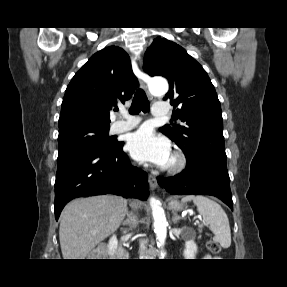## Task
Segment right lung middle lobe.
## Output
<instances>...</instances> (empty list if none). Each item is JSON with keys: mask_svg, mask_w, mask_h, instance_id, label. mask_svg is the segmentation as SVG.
<instances>
[{"mask_svg": "<svg viewBox=\"0 0 287 287\" xmlns=\"http://www.w3.org/2000/svg\"><path fill=\"white\" fill-rule=\"evenodd\" d=\"M109 125L76 122L59 127V153L73 148L112 151L119 142L109 136Z\"/></svg>", "mask_w": 287, "mask_h": 287, "instance_id": "right-lung-middle-lobe-1", "label": "right lung middle lobe"}]
</instances>
